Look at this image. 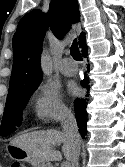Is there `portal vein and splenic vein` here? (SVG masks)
I'll list each match as a JSON object with an SVG mask.
<instances>
[{"label":"portal vein and splenic vein","mask_w":125,"mask_h":167,"mask_svg":"<svg viewBox=\"0 0 125 167\" xmlns=\"http://www.w3.org/2000/svg\"><path fill=\"white\" fill-rule=\"evenodd\" d=\"M61 167H70V163L69 162H64V163H62Z\"/></svg>","instance_id":"1"}]
</instances>
